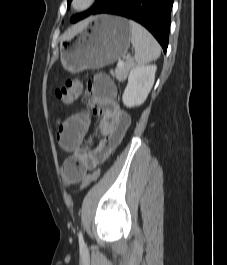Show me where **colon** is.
<instances>
[{
  "label": "colon",
  "instance_id": "1",
  "mask_svg": "<svg viewBox=\"0 0 227 265\" xmlns=\"http://www.w3.org/2000/svg\"><path fill=\"white\" fill-rule=\"evenodd\" d=\"M81 83L77 79H68L64 86L56 90V97L63 104H72L81 94ZM82 165L81 157L77 154H73L68 157L63 164V175L67 180L73 179V173ZM100 176V169H95L91 173L85 176L82 181L81 188L85 189L93 182H95Z\"/></svg>",
  "mask_w": 227,
  "mask_h": 265
}]
</instances>
